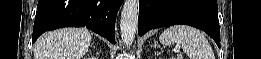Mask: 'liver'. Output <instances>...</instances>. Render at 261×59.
<instances>
[{
	"label": "liver",
	"mask_w": 261,
	"mask_h": 59,
	"mask_svg": "<svg viewBox=\"0 0 261 59\" xmlns=\"http://www.w3.org/2000/svg\"><path fill=\"white\" fill-rule=\"evenodd\" d=\"M91 34L86 28L47 32L35 43V59H81L88 51Z\"/></svg>",
	"instance_id": "obj_1"
}]
</instances>
